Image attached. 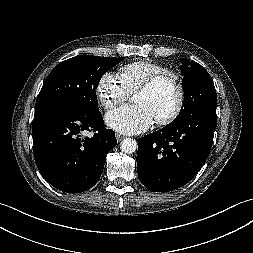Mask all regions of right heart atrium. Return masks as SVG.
I'll return each mask as SVG.
<instances>
[{
  "mask_svg": "<svg viewBox=\"0 0 253 253\" xmlns=\"http://www.w3.org/2000/svg\"><path fill=\"white\" fill-rule=\"evenodd\" d=\"M96 92L101 105L107 110L116 108L131 94L120 77L111 72H106L101 76L97 83Z\"/></svg>",
  "mask_w": 253,
  "mask_h": 253,
  "instance_id": "1",
  "label": "right heart atrium"
}]
</instances>
